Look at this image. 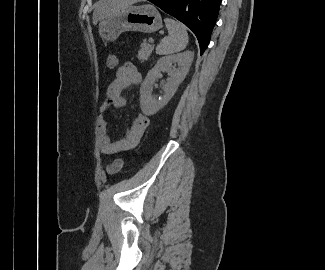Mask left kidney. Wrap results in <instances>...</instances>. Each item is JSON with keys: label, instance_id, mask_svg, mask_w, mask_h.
<instances>
[{"label": "left kidney", "instance_id": "obj_1", "mask_svg": "<svg viewBox=\"0 0 325 270\" xmlns=\"http://www.w3.org/2000/svg\"><path fill=\"white\" fill-rule=\"evenodd\" d=\"M193 58L194 52L185 51L176 55L162 57L157 61L156 65L148 72L140 88V106L145 115L156 114L170 101L178 86L185 79ZM172 64H177L178 69L173 68ZM160 72H168L170 78L163 87L164 95L159 99H153V85Z\"/></svg>", "mask_w": 325, "mask_h": 270}]
</instances>
